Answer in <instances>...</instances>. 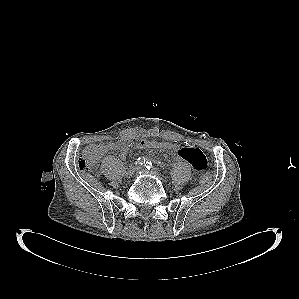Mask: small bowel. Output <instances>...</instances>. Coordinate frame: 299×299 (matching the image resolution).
I'll return each mask as SVG.
<instances>
[{
	"label": "small bowel",
	"instance_id": "c3829d8e",
	"mask_svg": "<svg viewBox=\"0 0 299 299\" xmlns=\"http://www.w3.org/2000/svg\"><path fill=\"white\" fill-rule=\"evenodd\" d=\"M123 147L119 150L121 154H126L131 146V140L128 138H123L120 140ZM140 143L144 146L148 145L150 142L142 140ZM145 149V148H144ZM164 149H169L177 154V156L189 163L192 168L196 171H203L207 167V159L204 153L191 144H186L185 146H178L172 143H166Z\"/></svg>",
	"mask_w": 299,
	"mask_h": 299
}]
</instances>
